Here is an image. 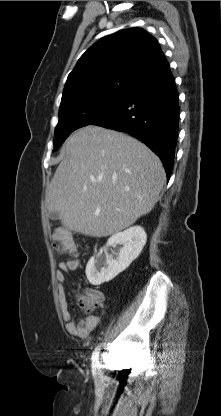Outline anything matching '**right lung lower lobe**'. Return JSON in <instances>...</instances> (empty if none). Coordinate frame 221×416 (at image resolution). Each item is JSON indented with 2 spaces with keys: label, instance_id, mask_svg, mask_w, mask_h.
<instances>
[{
  "label": "right lung lower lobe",
  "instance_id": "98d812e1",
  "mask_svg": "<svg viewBox=\"0 0 221 416\" xmlns=\"http://www.w3.org/2000/svg\"><path fill=\"white\" fill-rule=\"evenodd\" d=\"M179 104L173 76L131 91L105 118L92 125L127 132L144 142L163 162L169 180L178 136Z\"/></svg>",
  "mask_w": 221,
  "mask_h": 416
}]
</instances>
